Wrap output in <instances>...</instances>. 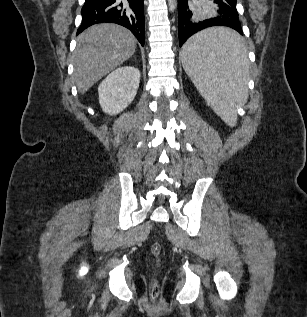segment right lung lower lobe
Returning a JSON list of instances; mask_svg holds the SVG:
<instances>
[{
	"label": "right lung lower lobe",
	"mask_w": 307,
	"mask_h": 317,
	"mask_svg": "<svg viewBox=\"0 0 307 317\" xmlns=\"http://www.w3.org/2000/svg\"><path fill=\"white\" fill-rule=\"evenodd\" d=\"M81 14L77 35L91 25L110 22L128 28L144 46L143 0H86Z\"/></svg>",
	"instance_id": "obj_1"
}]
</instances>
